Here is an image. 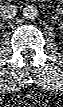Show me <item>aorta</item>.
<instances>
[{
  "label": "aorta",
  "mask_w": 63,
  "mask_h": 107,
  "mask_svg": "<svg viewBox=\"0 0 63 107\" xmlns=\"http://www.w3.org/2000/svg\"><path fill=\"white\" fill-rule=\"evenodd\" d=\"M22 12H23V17L26 20H30V21L35 20L38 17V15H39L38 9L34 5H27V6H25L23 8Z\"/></svg>",
  "instance_id": "1"
}]
</instances>
